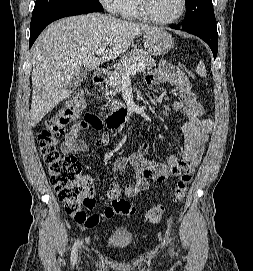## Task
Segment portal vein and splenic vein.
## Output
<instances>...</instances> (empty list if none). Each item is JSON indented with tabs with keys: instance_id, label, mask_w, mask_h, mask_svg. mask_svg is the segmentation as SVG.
I'll return each mask as SVG.
<instances>
[{
	"instance_id": "obj_1",
	"label": "portal vein and splenic vein",
	"mask_w": 253,
	"mask_h": 271,
	"mask_svg": "<svg viewBox=\"0 0 253 271\" xmlns=\"http://www.w3.org/2000/svg\"><path fill=\"white\" fill-rule=\"evenodd\" d=\"M105 51V48H100L96 51V55L101 56ZM143 69L142 64L133 65L129 68L124 69L123 78L128 77L129 75L141 71Z\"/></svg>"
}]
</instances>
